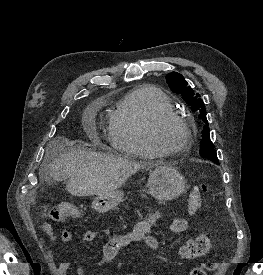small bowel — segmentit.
Returning a JSON list of instances; mask_svg holds the SVG:
<instances>
[{"label":"small bowel","mask_w":263,"mask_h":275,"mask_svg":"<svg viewBox=\"0 0 263 275\" xmlns=\"http://www.w3.org/2000/svg\"><path fill=\"white\" fill-rule=\"evenodd\" d=\"M162 214L160 212L152 213L148 219L139 222L132 232L119 235L111 238L106 242L102 249V262L111 263L115 260L119 251L132 243H144L150 249L156 250L159 247L157 238L151 236L150 230L155 225ZM188 228V221L184 218H175L170 224V229L174 233L184 232ZM42 230L48 237L49 241L53 244L58 242V236L55 233L51 225L45 223L42 225ZM63 242H71L74 239V234L71 231H63L60 236ZM98 238V234L95 231H87L83 234V240L85 242H94ZM50 259L53 260V256L50 255ZM71 267L69 261L60 262L54 264L53 271L56 275H66ZM77 275H84V270L81 266L76 268ZM130 275V274H128Z\"/></svg>","instance_id":"obj_1"}]
</instances>
